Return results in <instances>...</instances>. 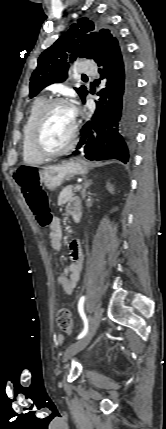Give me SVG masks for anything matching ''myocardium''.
<instances>
[{
  "label": "myocardium",
  "instance_id": "f54148a6",
  "mask_svg": "<svg viewBox=\"0 0 166 429\" xmlns=\"http://www.w3.org/2000/svg\"><path fill=\"white\" fill-rule=\"evenodd\" d=\"M56 105H66L72 110L73 126H72L69 141L63 148L56 151H47L43 149L39 144V141H38L39 131L45 115L52 107ZM77 132H78V123H77L75 109L73 105L66 98H63V97L51 98L42 105V107L40 108L39 112L37 113L32 123L30 134H29V147L33 153H35L36 155L44 159L58 157L69 152L73 148V146L76 143Z\"/></svg>",
  "mask_w": 166,
  "mask_h": 429
}]
</instances>
